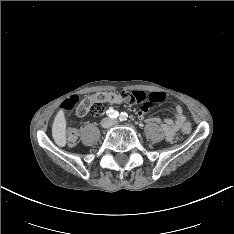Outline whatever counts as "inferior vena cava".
Returning <instances> with one entry per match:
<instances>
[{"instance_id":"602c4592","label":"inferior vena cava","mask_w":234,"mask_h":234,"mask_svg":"<svg viewBox=\"0 0 234 234\" xmlns=\"http://www.w3.org/2000/svg\"><path fill=\"white\" fill-rule=\"evenodd\" d=\"M113 124H115V121H114V120L107 119V120L102 124V126H103V127H109V126H112Z\"/></svg>"}]
</instances>
